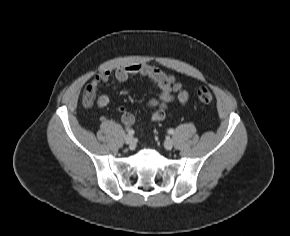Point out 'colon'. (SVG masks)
Segmentation results:
<instances>
[{
    "label": "colon",
    "instance_id": "1",
    "mask_svg": "<svg viewBox=\"0 0 290 236\" xmlns=\"http://www.w3.org/2000/svg\"><path fill=\"white\" fill-rule=\"evenodd\" d=\"M197 99L202 104H209L213 100L212 92L206 86H200L196 91ZM96 100V91L88 85L83 93V102L86 106L92 107Z\"/></svg>",
    "mask_w": 290,
    "mask_h": 236
}]
</instances>
